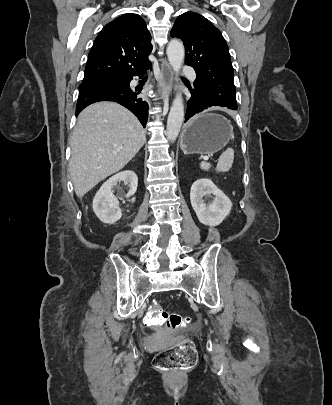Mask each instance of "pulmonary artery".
<instances>
[{
	"label": "pulmonary artery",
	"instance_id": "pulmonary-artery-1",
	"mask_svg": "<svg viewBox=\"0 0 332 405\" xmlns=\"http://www.w3.org/2000/svg\"><path fill=\"white\" fill-rule=\"evenodd\" d=\"M183 72L191 79V80H196V74L194 70L190 67H184Z\"/></svg>",
	"mask_w": 332,
	"mask_h": 405
}]
</instances>
